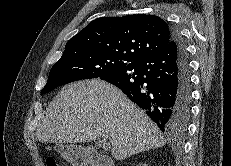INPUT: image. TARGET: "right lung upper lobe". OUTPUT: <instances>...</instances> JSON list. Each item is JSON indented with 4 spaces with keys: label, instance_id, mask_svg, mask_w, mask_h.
<instances>
[{
    "label": "right lung upper lobe",
    "instance_id": "1",
    "mask_svg": "<svg viewBox=\"0 0 231 166\" xmlns=\"http://www.w3.org/2000/svg\"><path fill=\"white\" fill-rule=\"evenodd\" d=\"M171 40L172 29L158 16L102 17L72 37L63 55L93 51L132 62L162 50Z\"/></svg>",
    "mask_w": 231,
    "mask_h": 166
}]
</instances>
